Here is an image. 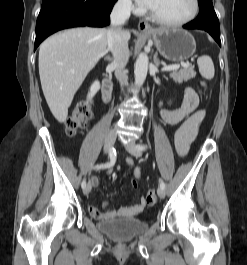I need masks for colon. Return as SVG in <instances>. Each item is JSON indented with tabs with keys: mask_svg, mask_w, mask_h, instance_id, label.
<instances>
[{
	"mask_svg": "<svg viewBox=\"0 0 247 265\" xmlns=\"http://www.w3.org/2000/svg\"><path fill=\"white\" fill-rule=\"evenodd\" d=\"M205 86V84H203ZM92 103L90 100H83L78 102L71 114L66 120L65 127L68 136H75L77 133L85 129L88 121L92 117ZM174 145L176 147V136L173 138ZM134 186L136 184L134 183ZM145 202L149 206H153L156 203L157 196L155 191L150 190L145 196Z\"/></svg>",
	"mask_w": 247,
	"mask_h": 265,
	"instance_id": "obj_1",
	"label": "colon"
}]
</instances>
